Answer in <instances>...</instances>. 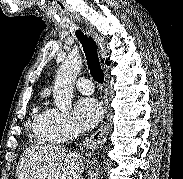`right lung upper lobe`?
<instances>
[{
	"instance_id": "obj_1",
	"label": "right lung upper lobe",
	"mask_w": 183,
	"mask_h": 179,
	"mask_svg": "<svg viewBox=\"0 0 183 179\" xmlns=\"http://www.w3.org/2000/svg\"><path fill=\"white\" fill-rule=\"evenodd\" d=\"M107 65H110V62L107 60L106 62H105Z\"/></svg>"
}]
</instances>
